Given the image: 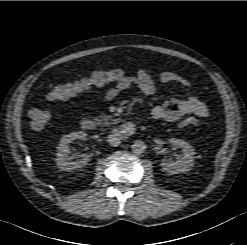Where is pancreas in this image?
I'll use <instances>...</instances> for the list:
<instances>
[{
	"instance_id": "1",
	"label": "pancreas",
	"mask_w": 247,
	"mask_h": 245,
	"mask_svg": "<svg viewBox=\"0 0 247 245\" xmlns=\"http://www.w3.org/2000/svg\"><path fill=\"white\" fill-rule=\"evenodd\" d=\"M95 120L99 125L102 126H109L110 124L114 123L116 120L111 119V116L109 115H100L98 117H95Z\"/></svg>"
}]
</instances>
